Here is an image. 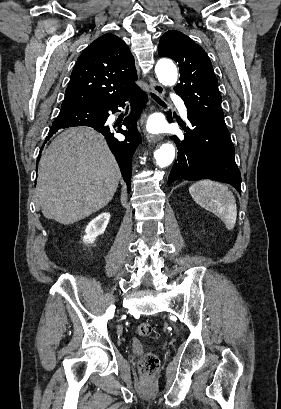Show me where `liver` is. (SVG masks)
I'll return each mask as SVG.
<instances>
[{
	"mask_svg": "<svg viewBox=\"0 0 281 409\" xmlns=\"http://www.w3.org/2000/svg\"><path fill=\"white\" fill-rule=\"evenodd\" d=\"M121 172L97 130L71 126L40 160L36 192L45 219L72 225L108 205Z\"/></svg>",
	"mask_w": 281,
	"mask_h": 409,
	"instance_id": "liver-1",
	"label": "liver"
}]
</instances>
